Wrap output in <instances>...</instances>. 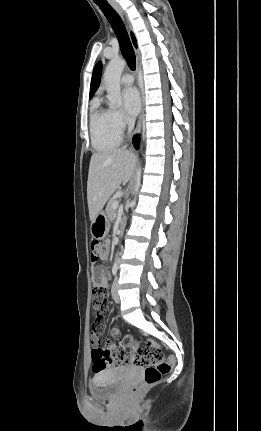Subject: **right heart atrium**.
<instances>
[{
    "label": "right heart atrium",
    "mask_w": 261,
    "mask_h": 431,
    "mask_svg": "<svg viewBox=\"0 0 261 431\" xmlns=\"http://www.w3.org/2000/svg\"><path fill=\"white\" fill-rule=\"evenodd\" d=\"M109 116L112 127L119 133H122L129 125V122L119 110L110 109Z\"/></svg>",
    "instance_id": "1"
}]
</instances>
